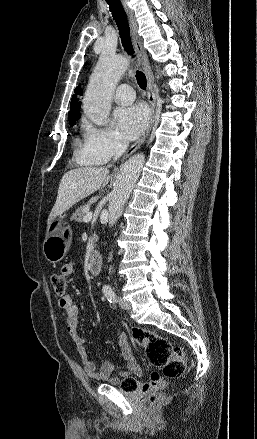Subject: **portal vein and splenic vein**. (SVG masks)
I'll list each match as a JSON object with an SVG mask.
<instances>
[{
  "instance_id": "obj_1",
  "label": "portal vein and splenic vein",
  "mask_w": 257,
  "mask_h": 439,
  "mask_svg": "<svg viewBox=\"0 0 257 439\" xmlns=\"http://www.w3.org/2000/svg\"><path fill=\"white\" fill-rule=\"evenodd\" d=\"M91 219H92V213L89 212L88 214H86V215L84 216L83 221H84V222H89V221H91Z\"/></svg>"
}]
</instances>
